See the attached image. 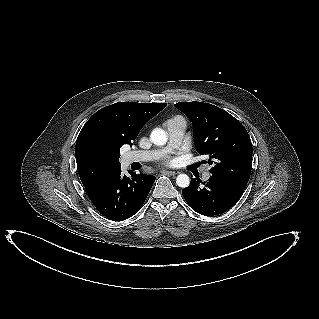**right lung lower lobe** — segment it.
Here are the masks:
<instances>
[{"label": "right lung lower lobe", "instance_id": "1", "mask_svg": "<svg viewBox=\"0 0 319 319\" xmlns=\"http://www.w3.org/2000/svg\"><path fill=\"white\" fill-rule=\"evenodd\" d=\"M131 178L121 175V169L85 187L97 210L106 218L121 221L132 217L142 207L155 177L129 171Z\"/></svg>", "mask_w": 319, "mask_h": 319}]
</instances>
